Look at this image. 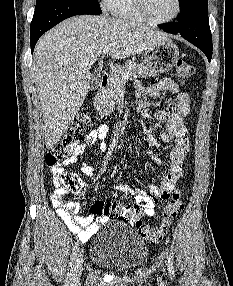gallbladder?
Returning a JSON list of instances; mask_svg holds the SVG:
<instances>
[{
    "mask_svg": "<svg viewBox=\"0 0 233 286\" xmlns=\"http://www.w3.org/2000/svg\"><path fill=\"white\" fill-rule=\"evenodd\" d=\"M101 80V75L98 73L91 74L90 88L95 89L99 86Z\"/></svg>",
    "mask_w": 233,
    "mask_h": 286,
    "instance_id": "bac80fb5",
    "label": "gallbladder"
}]
</instances>
